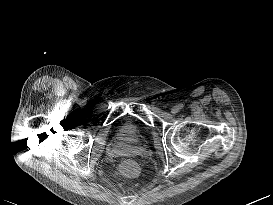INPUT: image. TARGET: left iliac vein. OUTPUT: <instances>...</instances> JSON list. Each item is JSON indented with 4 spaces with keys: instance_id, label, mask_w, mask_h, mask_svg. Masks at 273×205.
Here are the masks:
<instances>
[{
    "instance_id": "left-iliac-vein-1",
    "label": "left iliac vein",
    "mask_w": 273,
    "mask_h": 205,
    "mask_svg": "<svg viewBox=\"0 0 273 205\" xmlns=\"http://www.w3.org/2000/svg\"><path fill=\"white\" fill-rule=\"evenodd\" d=\"M171 112H172L173 114L178 113V112H179V107H178V106L172 107Z\"/></svg>"
}]
</instances>
